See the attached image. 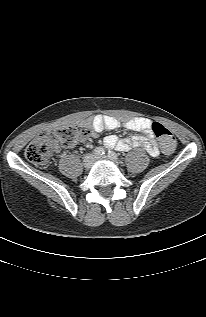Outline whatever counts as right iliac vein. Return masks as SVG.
Here are the masks:
<instances>
[{"label": "right iliac vein", "mask_w": 206, "mask_h": 317, "mask_svg": "<svg viewBox=\"0 0 206 317\" xmlns=\"http://www.w3.org/2000/svg\"><path fill=\"white\" fill-rule=\"evenodd\" d=\"M93 156L92 155H87L85 156L84 160H83V165L86 169H90L93 165Z\"/></svg>", "instance_id": "right-iliac-vein-1"}]
</instances>
